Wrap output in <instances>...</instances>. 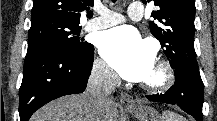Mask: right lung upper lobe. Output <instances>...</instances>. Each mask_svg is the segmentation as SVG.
<instances>
[{"instance_id":"cb5924a9","label":"right lung upper lobe","mask_w":217,"mask_h":121,"mask_svg":"<svg viewBox=\"0 0 217 121\" xmlns=\"http://www.w3.org/2000/svg\"><path fill=\"white\" fill-rule=\"evenodd\" d=\"M93 0H34L31 14V23L56 19L63 22L80 24L82 11H87V17L92 16L89 6Z\"/></svg>"}]
</instances>
